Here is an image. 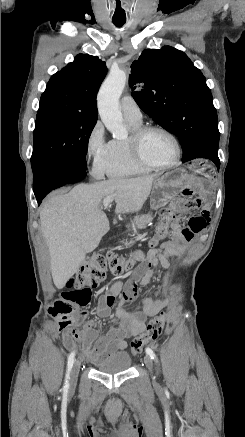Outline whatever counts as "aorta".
<instances>
[{"label":"aorta","mask_w":245,"mask_h":437,"mask_svg":"<svg viewBox=\"0 0 245 437\" xmlns=\"http://www.w3.org/2000/svg\"><path fill=\"white\" fill-rule=\"evenodd\" d=\"M127 80L126 73L119 69H111L98 93V110L105 127L116 139L127 136L123 126L122 113L119 109V98Z\"/></svg>","instance_id":"762f6f07"}]
</instances>
